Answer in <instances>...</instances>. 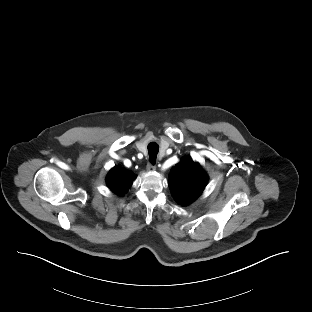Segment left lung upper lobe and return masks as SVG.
I'll return each instance as SVG.
<instances>
[{"mask_svg":"<svg viewBox=\"0 0 312 312\" xmlns=\"http://www.w3.org/2000/svg\"><path fill=\"white\" fill-rule=\"evenodd\" d=\"M207 181L208 176L201 166L186 157L171 169L168 184L175 200L187 205L202 193Z\"/></svg>","mask_w":312,"mask_h":312,"instance_id":"obj_1","label":"left lung upper lobe"}]
</instances>
